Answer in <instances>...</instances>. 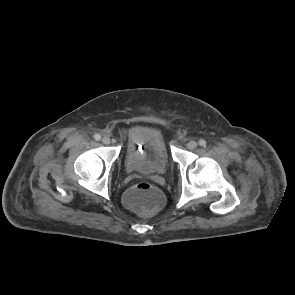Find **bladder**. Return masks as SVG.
<instances>
[{"mask_svg": "<svg viewBox=\"0 0 295 295\" xmlns=\"http://www.w3.org/2000/svg\"><path fill=\"white\" fill-rule=\"evenodd\" d=\"M126 169L145 176L162 175L170 167V157L162 134L146 130L132 140L124 154Z\"/></svg>", "mask_w": 295, "mask_h": 295, "instance_id": "bladder-1", "label": "bladder"}]
</instances>
